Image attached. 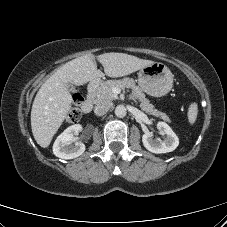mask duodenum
Instances as JSON below:
<instances>
[{
    "instance_id": "410a0bca",
    "label": "duodenum",
    "mask_w": 227,
    "mask_h": 227,
    "mask_svg": "<svg viewBox=\"0 0 227 227\" xmlns=\"http://www.w3.org/2000/svg\"><path fill=\"white\" fill-rule=\"evenodd\" d=\"M101 82L100 78H96L90 82L87 89V95L82 105L84 113L88 114L91 112L94 105L95 92Z\"/></svg>"
}]
</instances>
